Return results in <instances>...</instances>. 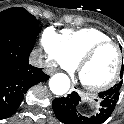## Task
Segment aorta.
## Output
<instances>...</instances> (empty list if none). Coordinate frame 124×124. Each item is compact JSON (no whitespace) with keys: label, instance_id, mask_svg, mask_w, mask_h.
<instances>
[{"label":"aorta","instance_id":"aorta-1","mask_svg":"<svg viewBox=\"0 0 124 124\" xmlns=\"http://www.w3.org/2000/svg\"><path fill=\"white\" fill-rule=\"evenodd\" d=\"M49 88L56 95L65 94L70 88V79L63 73L55 74L49 81Z\"/></svg>","mask_w":124,"mask_h":124}]
</instances>
